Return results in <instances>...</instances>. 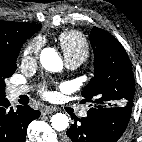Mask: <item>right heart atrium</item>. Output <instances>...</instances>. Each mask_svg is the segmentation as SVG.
<instances>
[{
	"label": "right heart atrium",
	"instance_id": "d8ad5b80",
	"mask_svg": "<svg viewBox=\"0 0 142 142\" xmlns=\"http://www.w3.org/2000/svg\"><path fill=\"white\" fill-rule=\"evenodd\" d=\"M43 46V39L42 38H34L29 41L22 52V63L28 64L37 61L40 51Z\"/></svg>",
	"mask_w": 142,
	"mask_h": 142
}]
</instances>
